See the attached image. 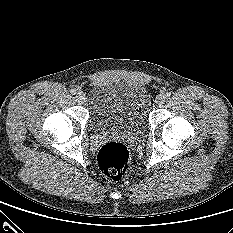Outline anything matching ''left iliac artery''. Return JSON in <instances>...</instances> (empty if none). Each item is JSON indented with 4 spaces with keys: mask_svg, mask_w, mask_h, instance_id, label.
<instances>
[{
    "mask_svg": "<svg viewBox=\"0 0 233 233\" xmlns=\"http://www.w3.org/2000/svg\"><path fill=\"white\" fill-rule=\"evenodd\" d=\"M170 96H171V93L167 92L164 97L167 99V98H170Z\"/></svg>",
    "mask_w": 233,
    "mask_h": 233,
    "instance_id": "44dca946",
    "label": "left iliac artery"
}]
</instances>
